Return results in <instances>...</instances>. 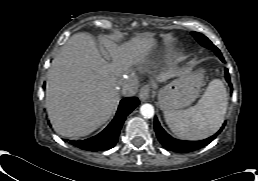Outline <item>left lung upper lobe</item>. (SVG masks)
<instances>
[{
	"mask_svg": "<svg viewBox=\"0 0 258 181\" xmlns=\"http://www.w3.org/2000/svg\"><path fill=\"white\" fill-rule=\"evenodd\" d=\"M192 35L202 46L213 49L220 59L223 58L219 49L206 36L198 32H192Z\"/></svg>",
	"mask_w": 258,
	"mask_h": 181,
	"instance_id": "left-lung-upper-lobe-1",
	"label": "left lung upper lobe"
}]
</instances>
